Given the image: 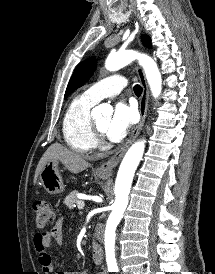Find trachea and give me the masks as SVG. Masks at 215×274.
I'll return each instance as SVG.
<instances>
[{"mask_svg": "<svg viewBox=\"0 0 215 274\" xmlns=\"http://www.w3.org/2000/svg\"><path fill=\"white\" fill-rule=\"evenodd\" d=\"M143 88L140 85H135L134 86V92L137 96H140L142 94Z\"/></svg>", "mask_w": 215, "mask_h": 274, "instance_id": "1", "label": "trachea"}]
</instances>
